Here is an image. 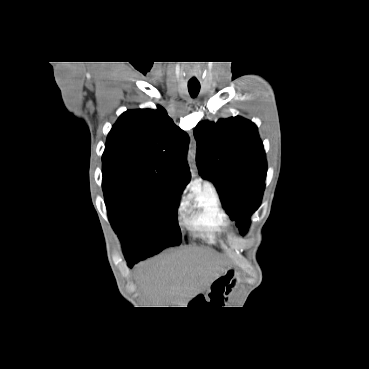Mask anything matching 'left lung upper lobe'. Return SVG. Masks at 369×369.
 <instances>
[{"label": "left lung upper lobe", "mask_w": 369, "mask_h": 369, "mask_svg": "<svg viewBox=\"0 0 369 369\" xmlns=\"http://www.w3.org/2000/svg\"><path fill=\"white\" fill-rule=\"evenodd\" d=\"M194 136L200 175L214 183L223 208L244 234L261 203L267 173L256 125L238 116L202 121Z\"/></svg>", "instance_id": "obj_1"}]
</instances>
